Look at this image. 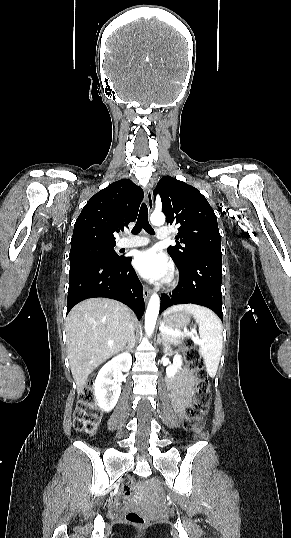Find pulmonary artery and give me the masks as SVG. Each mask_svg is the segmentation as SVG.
Here are the masks:
<instances>
[{
  "instance_id": "1",
  "label": "pulmonary artery",
  "mask_w": 291,
  "mask_h": 538,
  "mask_svg": "<svg viewBox=\"0 0 291 538\" xmlns=\"http://www.w3.org/2000/svg\"><path fill=\"white\" fill-rule=\"evenodd\" d=\"M170 232L168 228L161 227L157 231V238L158 239H166L169 236ZM149 243V240L147 237H134L132 239H125L120 242V247L122 248H129V247H140L145 246Z\"/></svg>"
}]
</instances>
